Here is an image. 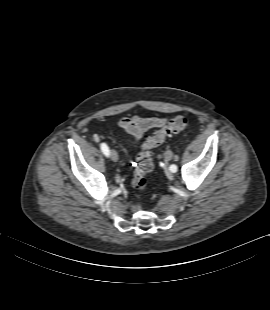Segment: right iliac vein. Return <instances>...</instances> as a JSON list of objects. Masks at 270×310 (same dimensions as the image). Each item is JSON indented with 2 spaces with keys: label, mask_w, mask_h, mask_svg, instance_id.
<instances>
[{
  "label": "right iliac vein",
  "mask_w": 270,
  "mask_h": 310,
  "mask_svg": "<svg viewBox=\"0 0 270 310\" xmlns=\"http://www.w3.org/2000/svg\"><path fill=\"white\" fill-rule=\"evenodd\" d=\"M110 158L114 162H116L118 160V154L115 150L110 151Z\"/></svg>",
  "instance_id": "obj_1"
}]
</instances>
